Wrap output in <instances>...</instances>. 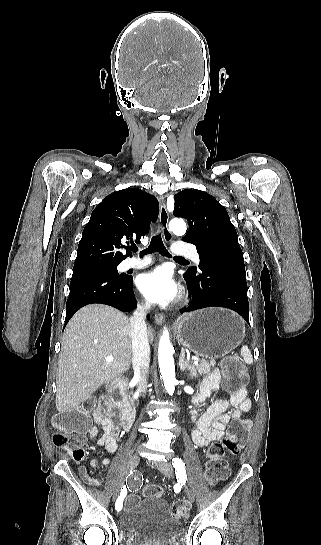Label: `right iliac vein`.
I'll use <instances>...</instances> for the list:
<instances>
[{"instance_id":"63e3f726","label":"right iliac vein","mask_w":321,"mask_h":545,"mask_svg":"<svg viewBox=\"0 0 321 545\" xmlns=\"http://www.w3.org/2000/svg\"><path fill=\"white\" fill-rule=\"evenodd\" d=\"M139 461H140V457L138 454H134L130 457L129 461H128V465H127V472L129 471H132L133 469H135L137 467V465L139 464ZM124 484V479H121L117 488L115 489L114 491V494H113V500L115 501L119 494H120V490L122 488Z\"/></svg>"}]
</instances>
